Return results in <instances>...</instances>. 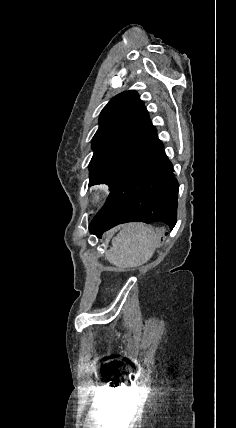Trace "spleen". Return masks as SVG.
<instances>
[{
    "label": "spleen",
    "mask_w": 236,
    "mask_h": 428,
    "mask_svg": "<svg viewBox=\"0 0 236 428\" xmlns=\"http://www.w3.org/2000/svg\"><path fill=\"white\" fill-rule=\"evenodd\" d=\"M156 234L151 226L145 224H125L118 236L112 240V248L106 254L107 260L114 266L137 268L151 258Z\"/></svg>",
    "instance_id": "3e777b00"
}]
</instances>
